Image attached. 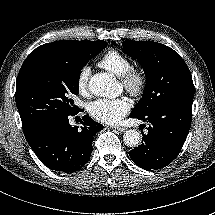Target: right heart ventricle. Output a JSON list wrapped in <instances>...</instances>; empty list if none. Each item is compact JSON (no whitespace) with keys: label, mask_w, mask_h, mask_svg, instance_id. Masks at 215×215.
<instances>
[{"label":"right heart ventricle","mask_w":215,"mask_h":215,"mask_svg":"<svg viewBox=\"0 0 215 215\" xmlns=\"http://www.w3.org/2000/svg\"><path fill=\"white\" fill-rule=\"evenodd\" d=\"M99 65L110 73L121 77L131 67V61L121 51L110 49L100 58Z\"/></svg>","instance_id":"e07e8e85"}]
</instances>
